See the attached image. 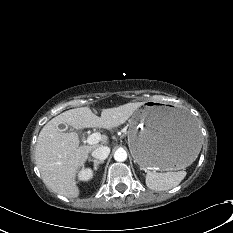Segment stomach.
<instances>
[{
  "mask_svg": "<svg viewBox=\"0 0 233 233\" xmlns=\"http://www.w3.org/2000/svg\"><path fill=\"white\" fill-rule=\"evenodd\" d=\"M128 145L141 167L161 170L188 166L201 148L197 125L186 110L151 102L129 120Z\"/></svg>",
  "mask_w": 233,
  "mask_h": 233,
  "instance_id": "obj_1",
  "label": "stomach"
}]
</instances>
